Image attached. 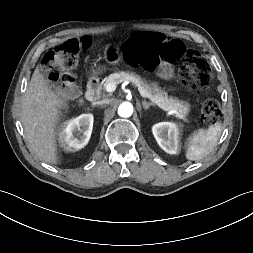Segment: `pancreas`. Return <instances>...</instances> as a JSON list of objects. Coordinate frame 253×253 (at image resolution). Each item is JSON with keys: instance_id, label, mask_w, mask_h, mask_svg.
Listing matches in <instances>:
<instances>
[{"instance_id": "pancreas-1", "label": "pancreas", "mask_w": 253, "mask_h": 253, "mask_svg": "<svg viewBox=\"0 0 253 253\" xmlns=\"http://www.w3.org/2000/svg\"><path fill=\"white\" fill-rule=\"evenodd\" d=\"M125 81H131L136 86H140L154 104L158 105L165 111L176 110L179 114L187 116L189 113V105L178 103L173 98H169L167 93L161 90L154 82L148 83L145 79H142L139 75L130 72H117L109 75L102 82L103 89L109 83L118 85Z\"/></svg>"}]
</instances>
